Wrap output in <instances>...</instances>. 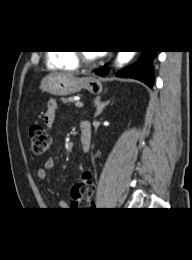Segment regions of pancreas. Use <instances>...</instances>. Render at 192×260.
<instances>
[{"label":"pancreas","instance_id":"obj_1","mask_svg":"<svg viewBox=\"0 0 192 260\" xmlns=\"http://www.w3.org/2000/svg\"><path fill=\"white\" fill-rule=\"evenodd\" d=\"M61 101L65 104H70L73 103L75 100L74 97H69V98H62Z\"/></svg>","mask_w":192,"mask_h":260}]
</instances>
